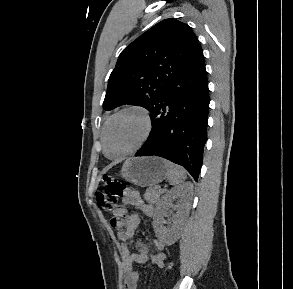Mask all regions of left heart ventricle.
<instances>
[{
  "instance_id": "1",
  "label": "left heart ventricle",
  "mask_w": 293,
  "mask_h": 289,
  "mask_svg": "<svg viewBox=\"0 0 293 289\" xmlns=\"http://www.w3.org/2000/svg\"><path fill=\"white\" fill-rule=\"evenodd\" d=\"M143 120L138 113L127 112L115 118L107 130V152L118 156L133 148L143 133Z\"/></svg>"
}]
</instances>
